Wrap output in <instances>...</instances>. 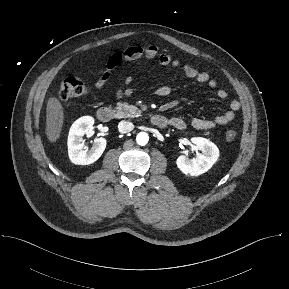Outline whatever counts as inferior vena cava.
<instances>
[{
  "label": "inferior vena cava",
  "instance_id": "inferior-vena-cava-1",
  "mask_svg": "<svg viewBox=\"0 0 289 289\" xmlns=\"http://www.w3.org/2000/svg\"><path fill=\"white\" fill-rule=\"evenodd\" d=\"M134 129V125L129 121H120L118 124V130L120 133H128Z\"/></svg>",
  "mask_w": 289,
  "mask_h": 289
}]
</instances>
